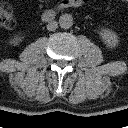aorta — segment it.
Wrapping results in <instances>:
<instances>
[{"label": "aorta", "mask_w": 128, "mask_h": 128, "mask_svg": "<svg viewBox=\"0 0 128 128\" xmlns=\"http://www.w3.org/2000/svg\"><path fill=\"white\" fill-rule=\"evenodd\" d=\"M59 25L63 29H69L73 26V17L70 14H63L59 18Z\"/></svg>", "instance_id": "762f6f07"}]
</instances>
